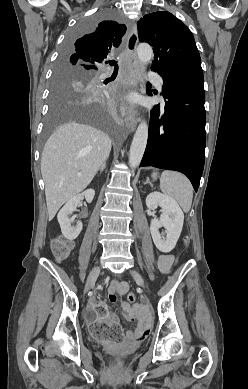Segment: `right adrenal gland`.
I'll return each mask as SVG.
<instances>
[{"mask_svg":"<svg viewBox=\"0 0 248 389\" xmlns=\"http://www.w3.org/2000/svg\"><path fill=\"white\" fill-rule=\"evenodd\" d=\"M105 168H106V161H104V162L102 163V165L100 166V168L98 169V171L103 172ZM98 171H97V172H98Z\"/></svg>","mask_w":248,"mask_h":389,"instance_id":"right-adrenal-gland-1","label":"right adrenal gland"}]
</instances>
